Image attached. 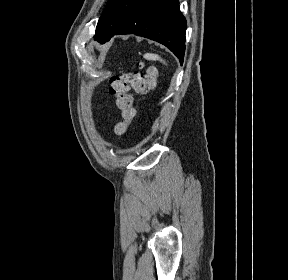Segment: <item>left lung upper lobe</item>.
<instances>
[{
    "instance_id": "5c2ea615",
    "label": "left lung upper lobe",
    "mask_w": 288,
    "mask_h": 280,
    "mask_svg": "<svg viewBox=\"0 0 288 280\" xmlns=\"http://www.w3.org/2000/svg\"><path fill=\"white\" fill-rule=\"evenodd\" d=\"M142 0H109L103 14L100 16L94 40L105 43L114 35L127 15Z\"/></svg>"
}]
</instances>
